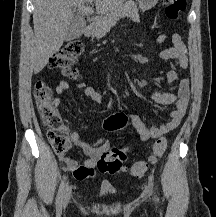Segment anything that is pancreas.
Wrapping results in <instances>:
<instances>
[{"mask_svg": "<svg viewBox=\"0 0 216 217\" xmlns=\"http://www.w3.org/2000/svg\"><path fill=\"white\" fill-rule=\"evenodd\" d=\"M122 17H129L139 22L138 8L135 2L128 0L118 5L113 11L97 18L91 28V36L100 39L110 31L111 27Z\"/></svg>", "mask_w": 216, "mask_h": 217, "instance_id": "pancreas-1", "label": "pancreas"}]
</instances>
